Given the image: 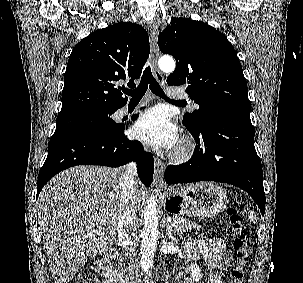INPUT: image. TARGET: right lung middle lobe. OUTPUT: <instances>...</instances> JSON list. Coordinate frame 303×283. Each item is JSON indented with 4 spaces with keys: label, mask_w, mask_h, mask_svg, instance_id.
Wrapping results in <instances>:
<instances>
[{
    "label": "right lung middle lobe",
    "mask_w": 303,
    "mask_h": 283,
    "mask_svg": "<svg viewBox=\"0 0 303 283\" xmlns=\"http://www.w3.org/2000/svg\"><path fill=\"white\" fill-rule=\"evenodd\" d=\"M114 111H85L70 115L58 116L55 133L84 130L94 133H112L121 130L124 126L117 124L111 118Z\"/></svg>",
    "instance_id": "1"
}]
</instances>
